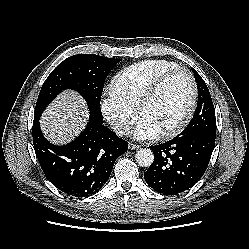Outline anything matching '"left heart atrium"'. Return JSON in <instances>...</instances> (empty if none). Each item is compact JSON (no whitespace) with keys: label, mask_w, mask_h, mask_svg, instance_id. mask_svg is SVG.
<instances>
[{"label":"left heart atrium","mask_w":249,"mask_h":249,"mask_svg":"<svg viewBox=\"0 0 249 249\" xmlns=\"http://www.w3.org/2000/svg\"><path fill=\"white\" fill-rule=\"evenodd\" d=\"M161 133L160 129L146 118L137 123L133 135L138 140L154 139Z\"/></svg>","instance_id":"obj_1"}]
</instances>
